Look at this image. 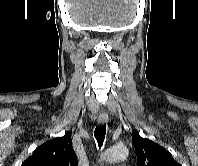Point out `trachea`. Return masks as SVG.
<instances>
[{
	"label": "trachea",
	"mask_w": 198,
	"mask_h": 166,
	"mask_svg": "<svg viewBox=\"0 0 198 166\" xmlns=\"http://www.w3.org/2000/svg\"><path fill=\"white\" fill-rule=\"evenodd\" d=\"M106 135V124H103L101 126H97L94 131V136L97 140V143L99 147L103 145L104 139Z\"/></svg>",
	"instance_id": "1"
}]
</instances>
